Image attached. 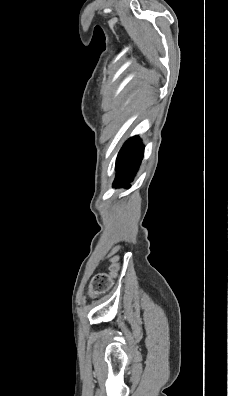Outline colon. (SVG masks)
I'll return each mask as SVG.
<instances>
[{
    "mask_svg": "<svg viewBox=\"0 0 228 396\" xmlns=\"http://www.w3.org/2000/svg\"><path fill=\"white\" fill-rule=\"evenodd\" d=\"M117 272L118 265L116 260L113 259L108 273H99L93 278L90 284V293L101 294L107 291L111 286L112 280L116 276Z\"/></svg>",
    "mask_w": 228,
    "mask_h": 396,
    "instance_id": "colon-1",
    "label": "colon"
}]
</instances>
